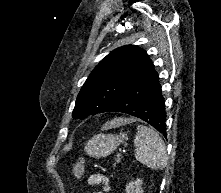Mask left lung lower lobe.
I'll return each mask as SVG.
<instances>
[{"mask_svg": "<svg viewBox=\"0 0 221 193\" xmlns=\"http://www.w3.org/2000/svg\"><path fill=\"white\" fill-rule=\"evenodd\" d=\"M158 73L152 67L134 80L105 112H122L149 123L166 138V112Z\"/></svg>", "mask_w": 221, "mask_h": 193, "instance_id": "0a47b994", "label": "left lung lower lobe"}]
</instances>
